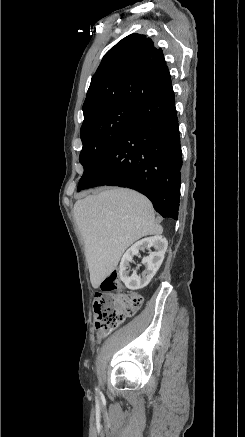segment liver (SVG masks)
<instances>
[{
    "mask_svg": "<svg viewBox=\"0 0 245 437\" xmlns=\"http://www.w3.org/2000/svg\"><path fill=\"white\" fill-rule=\"evenodd\" d=\"M74 217L84 239L90 281L95 289L116 269L131 244L163 232L155 221L151 202L124 188L106 189L78 200Z\"/></svg>",
    "mask_w": 245,
    "mask_h": 437,
    "instance_id": "obj_1",
    "label": "liver"
}]
</instances>
